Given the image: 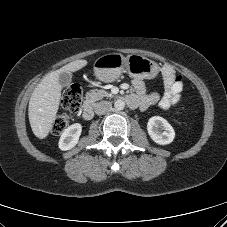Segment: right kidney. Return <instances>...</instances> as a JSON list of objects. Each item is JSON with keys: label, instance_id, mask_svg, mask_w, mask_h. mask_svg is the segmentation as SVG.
Wrapping results in <instances>:
<instances>
[{"label": "right kidney", "instance_id": "obj_1", "mask_svg": "<svg viewBox=\"0 0 227 227\" xmlns=\"http://www.w3.org/2000/svg\"><path fill=\"white\" fill-rule=\"evenodd\" d=\"M81 132L82 125L80 123L69 126L64 130L59 139V148L63 151L72 149L78 143Z\"/></svg>", "mask_w": 227, "mask_h": 227}]
</instances>
